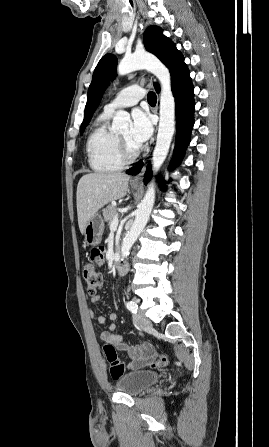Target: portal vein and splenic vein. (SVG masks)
<instances>
[{
    "instance_id": "18ae733b",
    "label": "portal vein and splenic vein",
    "mask_w": 269,
    "mask_h": 447,
    "mask_svg": "<svg viewBox=\"0 0 269 447\" xmlns=\"http://www.w3.org/2000/svg\"><path fill=\"white\" fill-rule=\"evenodd\" d=\"M119 224H120V217L118 216V214H115V216L113 217V222L112 224H110V231H116Z\"/></svg>"
}]
</instances>
